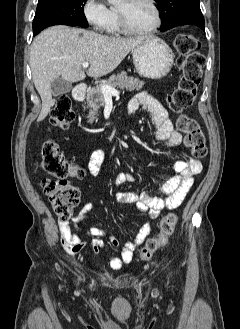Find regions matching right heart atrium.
Wrapping results in <instances>:
<instances>
[{
  "label": "right heart atrium",
  "instance_id": "obj_1",
  "mask_svg": "<svg viewBox=\"0 0 240 329\" xmlns=\"http://www.w3.org/2000/svg\"><path fill=\"white\" fill-rule=\"evenodd\" d=\"M83 15L96 31H104L110 19V11L103 0H85Z\"/></svg>",
  "mask_w": 240,
  "mask_h": 329
}]
</instances>
